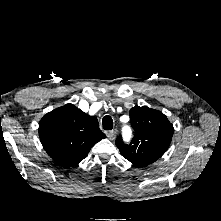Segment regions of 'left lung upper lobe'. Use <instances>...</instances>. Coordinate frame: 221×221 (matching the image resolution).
I'll return each mask as SVG.
<instances>
[{
  "instance_id": "5c2ea615",
  "label": "left lung upper lobe",
  "mask_w": 221,
  "mask_h": 221,
  "mask_svg": "<svg viewBox=\"0 0 221 221\" xmlns=\"http://www.w3.org/2000/svg\"><path fill=\"white\" fill-rule=\"evenodd\" d=\"M130 119L135 131L132 141L125 144L118 137L116 145L128 161L144 167L158 160L167 150L173 136V125L162 112L147 106L131 108Z\"/></svg>"
}]
</instances>
